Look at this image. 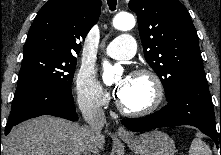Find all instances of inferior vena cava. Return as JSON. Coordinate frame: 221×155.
Wrapping results in <instances>:
<instances>
[{
    "mask_svg": "<svg viewBox=\"0 0 221 155\" xmlns=\"http://www.w3.org/2000/svg\"><path fill=\"white\" fill-rule=\"evenodd\" d=\"M84 120L87 122L85 127V142L82 145L83 155H97L96 151V136L103 124L106 122L103 109L95 100L91 98H82L78 101Z\"/></svg>",
    "mask_w": 221,
    "mask_h": 155,
    "instance_id": "inferior-vena-cava-1",
    "label": "inferior vena cava"
}]
</instances>
